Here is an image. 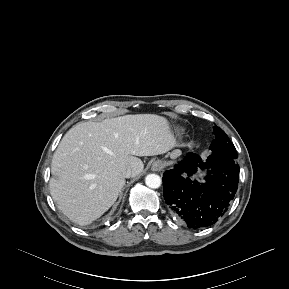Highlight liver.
Masks as SVG:
<instances>
[{"label":"liver","instance_id":"6515ba94","mask_svg":"<svg viewBox=\"0 0 289 289\" xmlns=\"http://www.w3.org/2000/svg\"><path fill=\"white\" fill-rule=\"evenodd\" d=\"M176 139L165 118L125 115L103 122H82L59 143L51 162L50 194L71 221L87 225L103 215L131 177L144 169L139 159L168 152Z\"/></svg>","mask_w":289,"mask_h":289}]
</instances>
